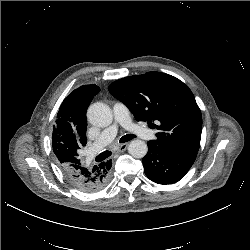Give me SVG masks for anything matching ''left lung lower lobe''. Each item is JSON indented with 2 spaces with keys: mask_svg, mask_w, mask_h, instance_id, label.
Listing matches in <instances>:
<instances>
[{
  "mask_svg": "<svg viewBox=\"0 0 250 250\" xmlns=\"http://www.w3.org/2000/svg\"><path fill=\"white\" fill-rule=\"evenodd\" d=\"M148 152L142 162L146 176L158 184L179 181L193 165L197 152L173 149L155 140L147 143Z\"/></svg>",
  "mask_w": 250,
  "mask_h": 250,
  "instance_id": "0a47b994",
  "label": "left lung lower lobe"
}]
</instances>
